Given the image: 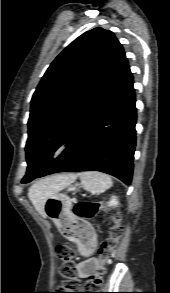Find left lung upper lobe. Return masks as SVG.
I'll return each instance as SVG.
<instances>
[{
	"label": "left lung upper lobe",
	"instance_id": "obj_1",
	"mask_svg": "<svg viewBox=\"0 0 170 293\" xmlns=\"http://www.w3.org/2000/svg\"><path fill=\"white\" fill-rule=\"evenodd\" d=\"M127 65L122 45L102 28L85 32L57 56L31 100L22 182L51 163L53 152L68 144Z\"/></svg>",
	"mask_w": 170,
	"mask_h": 293
}]
</instances>
